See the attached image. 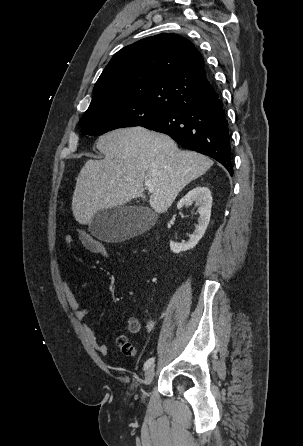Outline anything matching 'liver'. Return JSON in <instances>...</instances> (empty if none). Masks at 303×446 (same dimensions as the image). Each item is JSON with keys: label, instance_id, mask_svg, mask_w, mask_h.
Returning a JSON list of instances; mask_svg holds the SVG:
<instances>
[{"label": "liver", "instance_id": "6515ba94", "mask_svg": "<svg viewBox=\"0 0 303 446\" xmlns=\"http://www.w3.org/2000/svg\"><path fill=\"white\" fill-rule=\"evenodd\" d=\"M102 160H88L76 179L72 198L75 219L90 224L101 210L143 198L144 181L154 192L149 204L159 214L172 205L180 191L213 165L208 157L182 151L167 135L143 127L113 130L99 137Z\"/></svg>", "mask_w": 303, "mask_h": 446}]
</instances>
